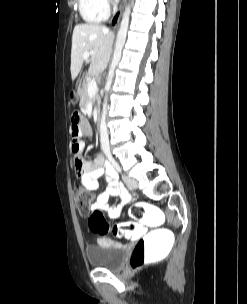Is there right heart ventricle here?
Segmentation results:
<instances>
[{
  "label": "right heart ventricle",
  "instance_id": "obj_1",
  "mask_svg": "<svg viewBox=\"0 0 247 304\" xmlns=\"http://www.w3.org/2000/svg\"><path fill=\"white\" fill-rule=\"evenodd\" d=\"M78 9L81 18L88 24L103 22L108 17V9L102 0H78Z\"/></svg>",
  "mask_w": 247,
  "mask_h": 304
}]
</instances>
